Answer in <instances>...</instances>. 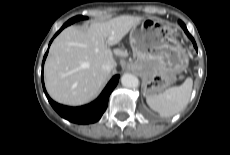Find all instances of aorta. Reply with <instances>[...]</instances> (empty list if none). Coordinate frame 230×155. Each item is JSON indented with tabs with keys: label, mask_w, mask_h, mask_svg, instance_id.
I'll return each instance as SVG.
<instances>
[{
	"label": "aorta",
	"mask_w": 230,
	"mask_h": 155,
	"mask_svg": "<svg viewBox=\"0 0 230 155\" xmlns=\"http://www.w3.org/2000/svg\"><path fill=\"white\" fill-rule=\"evenodd\" d=\"M121 83L126 88L135 89L139 86V79L133 74L125 73L121 77Z\"/></svg>",
	"instance_id": "1"
}]
</instances>
